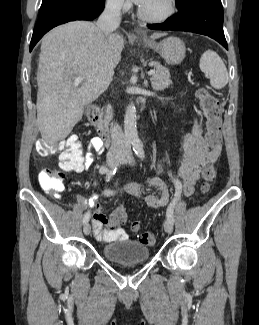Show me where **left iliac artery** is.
Returning <instances> with one entry per match:
<instances>
[{
    "label": "left iliac artery",
    "instance_id": "obj_1",
    "mask_svg": "<svg viewBox=\"0 0 259 325\" xmlns=\"http://www.w3.org/2000/svg\"><path fill=\"white\" fill-rule=\"evenodd\" d=\"M132 144H133V150L136 153V155L138 157H140L141 159H144L145 153H144L142 144L137 140H134ZM174 184H175V197L172 200V202L170 203V205L168 206L167 212H166L167 219H169L172 223L174 222V215H173L174 207H175V205L181 195V192H182L181 191V183L178 179H174Z\"/></svg>",
    "mask_w": 259,
    "mask_h": 325
}]
</instances>
